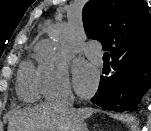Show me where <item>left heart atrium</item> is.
I'll return each mask as SVG.
<instances>
[{
    "instance_id": "obj_1",
    "label": "left heart atrium",
    "mask_w": 151,
    "mask_h": 131,
    "mask_svg": "<svg viewBox=\"0 0 151 131\" xmlns=\"http://www.w3.org/2000/svg\"><path fill=\"white\" fill-rule=\"evenodd\" d=\"M98 76L96 71L85 61L76 63L74 84L76 91L83 96L90 95L96 88Z\"/></svg>"
}]
</instances>
